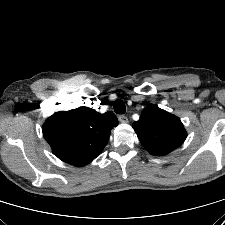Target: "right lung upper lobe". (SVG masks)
I'll return each instance as SVG.
<instances>
[{"label":"right lung upper lobe","mask_w":225,"mask_h":225,"mask_svg":"<svg viewBox=\"0 0 225 225\" xmlns=\"http://www.w3.org/2000/svg\"><path fill=\"white\" fill-rule=\"evenodd\" d=\"M117 125L118 119L112 112L100 114L79 107L49 117L43 125V136L60 160L82 167L102 152L111 129Z\"/></svg>","instance_id":"cb5924a9"}]
</instances>
